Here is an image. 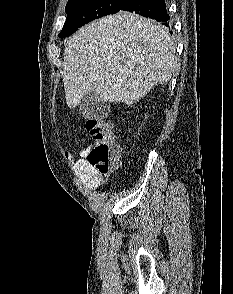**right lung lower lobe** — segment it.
<instances>
[{"label":"right lung lower lobe","mask_w":233,"mask_h":294,"mask_svg":"<svg viewBox=\"0 0 233 294\" xmlns=\"http://www.w3.org/2000/svg\"><path fill=\"white\" fill-rule=\"evenodd\" d=\"M120 10L135 12L146 18L155 19L167 27L170 23L164 0H127Z\"/></svg>","instance_id":"obj_1"}]
</instances>
